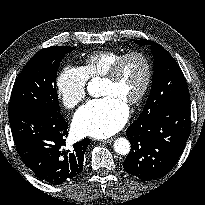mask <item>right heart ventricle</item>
Returning a JSON list of instances; mask_svg holds the SVG:
<instances>
[{
  "label": "right heart ventricle",
  "mask_w": 205,
  "mask_h": 205,
  "mask_svg": "<svg viewBox=\"0 0 205 205\" xmlns=\"http://www.w3.org/2000/svg\"><path fill=\"white\" fill-rule=\"evenodd\" d=\"M123 54L115 51L93 52L86 56L81 69L87 79L102 77Z\"/></svg>",
  "instance_id": "e07e8e85"
}]
</instances>
